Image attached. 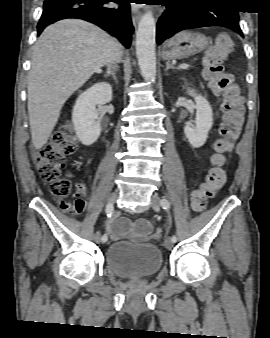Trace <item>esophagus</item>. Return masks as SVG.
<instances>
[{
  "label": "esophagus",
  "mask_w": 270,
  "mask_h": 338,
  "mask_svg": "<svg viewBox=\"0 0 270 338\" xmlns=\"http://www.w3.org/2000/svg\"><path fill=\"white\" fill-rule=\"evenodd\" d=\"M131 15L133 24L136 25L141 18V11L136 6H132Z\"/></svg>",
  "instance_id": "obj_1"
}]
</instances>
